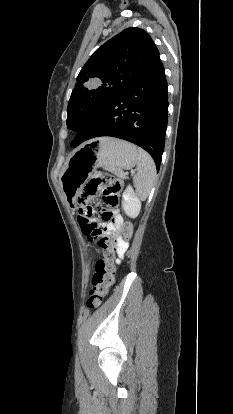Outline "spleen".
<instances>
[{"label":"spleen","instance_id":"1","mask_svg":"<svg viewBox=\"0 0 233 414\" xmlns=\"http://www.w3.org/2000/svg\"><path fill=\"white\" fill-rule=\"evenodd\" d=\"M139 161L137 173L133 178L136 192L141 199L147 198L156 179V166L152 157L143 149L139 148Z\"/></svg>","mask_w":233,"mask_h":414}]
</instances>
